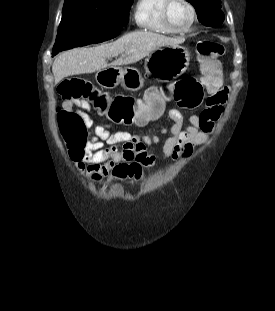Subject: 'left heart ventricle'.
<instances>
[{"instance_id":"1","label":"left heart ventricle","mask_w":275,"mask_h":311,"mask_svg":"<svg viewBox=\"0 0 275 311\" xmlns=\"http://www.w3.org/2000/svg\"><path fill=\"white\" fill-rule=\"evenodd\" d=\"M169 18L175 27L184 28L191 20V11L183 0H175L170 6Z\"/></svg>"}]
</instances>
